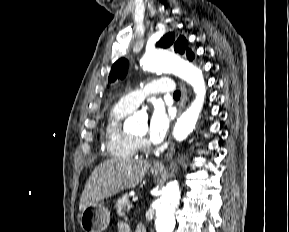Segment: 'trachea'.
<instances>
[{"label": "trachea", "instance_id": "trachea-1", "mask_svg": "<svg viewBox=\"0 0 289 232\" xmlns=\"http://www.w3.org/2000/svg\"><path fill=\"white\" fill-rule=\"evenodd\" d=\"M180 95H181L180 91L177 90L174 92L173 97L174 98H180Z\"/></svg>", "mask_w": 289, "mask_h": 232}]
</instances>
